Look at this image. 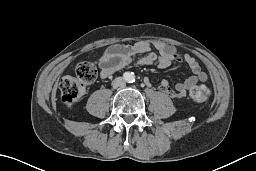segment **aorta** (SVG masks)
<instances>
[{
  "mask_svg": "<svg viewBox=\"0 0 256 171\" xmlns=\"http://www.w3.org/2000/svg\"><path fill=\"white\" fill-rule=\"evenodd\" d=\"M126 80L128 82H133L135 80V76L132 73L128 74L127 77H126Z\"/></svg>",
  "mask_w": 256,
  "mask_h": 171,
  "instance_id": "1",
  "label": "aorta"
}]
</instances>
